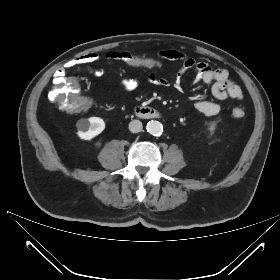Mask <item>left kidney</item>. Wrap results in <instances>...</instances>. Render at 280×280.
Returning <instances> with one entry per match:
<instances>
[{
	"label": "left kidney",
	"instance_id": "1",
	"mask_svg": "<svg viewBox=\"0 0 280 280\" xmlns=\"http://www.w3.org/2000/svg\"><path fill=\"white\" fill-rule=\"evenodd\" d=\"M209 129H210V130H214V129H215V125H211V126L209 127Z\"/></svg>",
	"mask_w": 280,
	"mask_h": 280
}]
</instances>
